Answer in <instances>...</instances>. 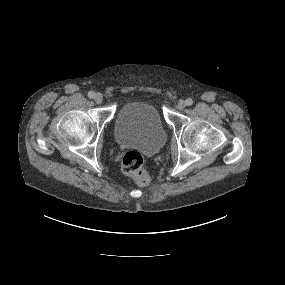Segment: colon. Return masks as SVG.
<instances>
[{
    "instance_id": "obj_1",
    "label": "colon",
    "mask_w": 285,
    "mask_h": 285,
    "mask_svg": "<svg viewBox=\"0 0 285 285\" xmlns=\"http://www.w3.org/2000/svg\"><path fill=\"white\" fill-rule=\"evenodd\" d=\"M144 162V156L138 151L127 152L122 160L123 172L141 186H147L150 183V178L144 168Z\"/></svg>"
}]
</instances>
